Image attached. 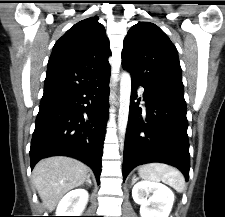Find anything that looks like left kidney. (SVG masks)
<instances>
[{
	"label": "left kidney",
	"instance_id": "5707ae66",
	"mask_svg": "<svg viewBox=\"0 0 225 217\" xmlns=\"http://www.w3.org/2000/svg\"><path fill=\"white\" fill-rule=\"evenodd\" d=\"M132 197L140 204L141 217H168L174 202V194L167 186L149 181L136 183Z\"/></svg>",
	"mask_w": 225,
	"mask_h": 217
}]
</instances>
